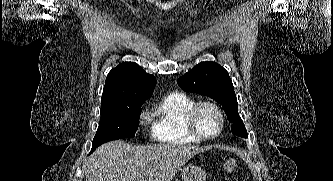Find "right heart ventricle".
Returning <instances> with one entry per match:
<instances>
[{
	"instance_id": "1",
	"label": "right heart ventricle",
	"mask_w": 333,
	"mask_h": 181,
	"mask_svg": "<svg viewBox=\"0 0 333 181\" xmlns=\"http://www.w3.org/2000/svg\"><path fill=\"white\" fill-rule=\"evenodd\" d=\"M196 101L190 96L174 92L166 95L151 111L153 137L168 144H194L200 139L193 136L187 127V113Z\"/></svg>"
}]
</instances>
